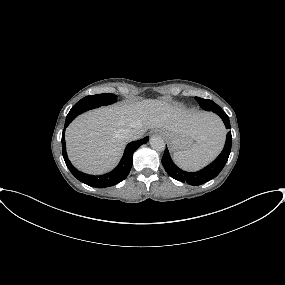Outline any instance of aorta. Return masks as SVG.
<instances>
[{"mask_svg":"<svg viewBox=\"0 0 285 285\" xmlns=\"http://www.w3.org/2000/svg\"><path fill=\"white\" fill-rule=\"evenodd\" d=\"M150 146L156 151H163L165 149V142L161 137L153 136L150 138Z\"/></svg>","mask_w":285,"mask_h":285,"instance_id":"1","label":"aorta"}]
</instances>
